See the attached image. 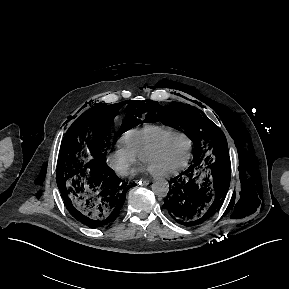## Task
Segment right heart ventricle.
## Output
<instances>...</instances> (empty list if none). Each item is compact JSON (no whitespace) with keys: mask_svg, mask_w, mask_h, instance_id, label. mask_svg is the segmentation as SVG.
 <instances>
[{"mask_svg":"<svg viewBox=\"0 0 289 289\" xmlns=\"http://www.w3.org/2000/svg\"><path fill=\"white\" fill-rule=\"evenodd\" d=\"M174 131L176 129L169 126L147 124L125 132L120 138V143L137 157H141L154 143Z\"/></svg>","mask_w":289,"mask_h":289,"instance_id":"obj_1","label":"right heart ventricle"}]
</instances>
